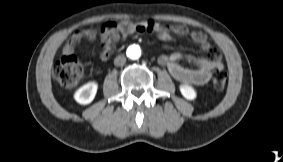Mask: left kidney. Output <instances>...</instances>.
Returning a JSON list of instances; mask_svg holds the SVG:
<instances>
[{"instance_id": "obj_1", "label": "left kidney", "mask_w": 283, "mask_h": 162, "mask_svg": "<svg viewBox=\"0 0 283 162\" xmlns=\"http://www.w3.org/2000/svg\"><path fill=\"white\" fill-rule=\"evenodd\" d=\"M180 92L187 100H194L197 96L194 88L188 84L181 85Z\"/></svg>"}]
</instances>
